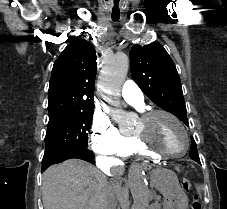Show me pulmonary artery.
<instances>
[{"mask_svg": "<svg viewBox=\"0 0 227 209\" xmlns=\"http://www.w3.org/2000/svg\"><path fill=\"white\" fill-rule=\"evenodd\" d=\"M122 97L135 105H142L143 104V98L141 97V91L138 87L137 83L132 80L128 79L122 88Z\"/></svg>", "mask_w": 227, "mask_h": 209, "instance_id": "1", "label": "pulmonary artery"}]
</instances>
